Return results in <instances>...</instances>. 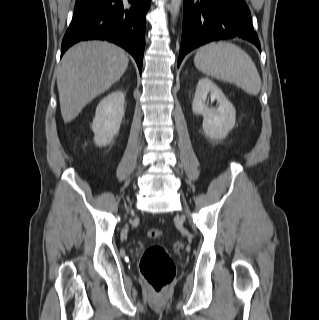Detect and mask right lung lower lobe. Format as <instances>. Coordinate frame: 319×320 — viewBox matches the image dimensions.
<instances>
[{
  "instance_id": "1",
  "label": "right lung lower lobe",
  "mask_w": 319,
  "mask_h": 320,
  "mask_svg": "<svg viewBox=\"0 0 319 320\" xmlns=\"http://www.w3.org/2000/svg\"><path fill=\"white\" fill-rule=\"evenodd\" d=\"M151 0H76L61 55L81 40L101 39L126 49L142 70L146 12Z\"/></svg>"
}]
</instances>
